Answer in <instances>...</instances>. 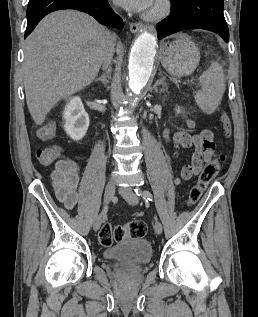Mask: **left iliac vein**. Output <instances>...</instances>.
Returning a JSON list of instances; mask_svg holds the SVG:
<instances>
[{
    "instance_id": "obj_1",
    "label": "left iliac vein",
    "mask_w": 258,
    "mask_h": 317,
    "mask_svg": "<svg viewBox=\"0 0 258 317\" xmlns=\"http://www.w3.org/2000/svg\"><path fill=\"white\" fill-rule=\"evenodd\" d=\"M120 189V193L124 196V200L126 202H129V203H134L135 206H136V203H138V196L135 192H133L130 188H119ZM154 229L156 231V235H161V231L163 229V225L161 224L160 221H155L154 222Z\"/></svg>"
}]
</instances>
